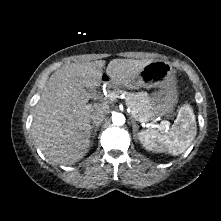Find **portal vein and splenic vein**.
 Here are the masks:
<instances>
[{
    "instance_id": "portal-vein-and-splenic-vein-1",
    "label": "portal vein and splenic vein",
    "mask_w": 221,
    "mask_h": 221,
    "mask_svg": "<svg viewBox=\"0 0 221 221\" xmlns=\"http://www.w3.org/2000/svg\"><path fill=\"white\" fill-rule=\"evenodd\" d=\"M133 116L136 118V120L137 121H139V122H143L141 119H139L135 114H133ZM160 126H163V127H165V128H168V126H169V121H163V122H161V125Z\"/></svg>"
}]
</instances>
